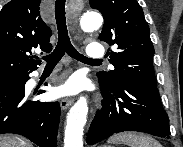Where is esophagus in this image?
<instances>
[{
    "instance_id": "1",
    "label": "esophagus",
    "mask_w": 183,
    "mask_h": 147,
    "mask_svg": "<svg viewBox=\"0 0 183 147\" xmlns=\"http://www.w3.org/2000/svg\"><path fill=\"white\" fill-rule=\"evenodd\" d=\"M73 103V99L69 97H63L60 99V106L62 110L67 109Z\"/></svg>"
}]
</instances>
